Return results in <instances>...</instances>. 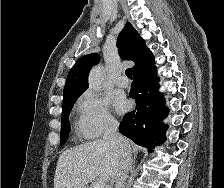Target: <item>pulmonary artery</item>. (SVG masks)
Wrapping results in <instances>:
<instances>
[{
  "label": "pulmonary artery",
  "mask_w": 224,
  "mask_h": 188,
  "mask_svg": "<svg viewBox=\"0 0 224 188\" xmlns=\"http://www.w3.org/2000/svg\"><path fill=\"white\" fill-rule=\"evenodd\" d=\"M116 85L121 88H126L129 85V80L125 75H121L116 79Z\"/></svg>",
  "instance_id": "e3ab8cb5"
}]
</instances>
